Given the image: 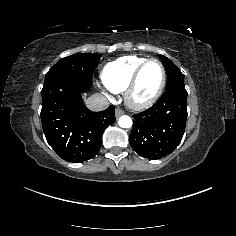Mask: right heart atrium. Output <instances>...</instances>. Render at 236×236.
Returning a JSON list of instances; mask_svg holds the SVG:
<instances>
[{
    "mask_svg": "<svg viewBox=\"0 0 236 236\" xmlns=\"http://www.w3.org/2000/svg\"><path fill=\"white\" fill-rule=\"evenodd\" d=\"M96 85L99 86L98 82H96Z\"/></svg>",
    "mask_w": 236,
    "mask_h": 236,
    "instance_id": "obj_1",
    "label": "right heart atrium"
}]
</instances>
